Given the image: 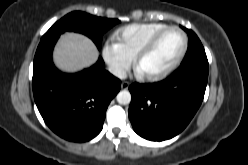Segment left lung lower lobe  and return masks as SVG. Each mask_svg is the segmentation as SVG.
<instances>
[{
	"label": "left lung lower lobe",
	"mask_w": 248,
	"mask_h": 165,
	"mask_svg": "<svg viewBox=\"0 0 248 165\" xmlns=\"http://www.w3.org/2000/svg\"><path fill=\"white\" fill-rule=\"evenodd\" d=\"M206 55L186 62L167 79L129 87L132 100L129 119L134 131L152 141L178 135L200 107L208 79Z\"/></svg>",
	"instance_id": "1"
}]
</instances>
